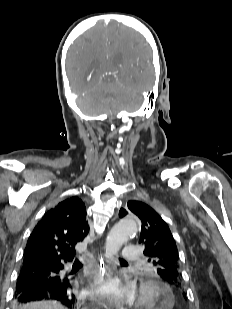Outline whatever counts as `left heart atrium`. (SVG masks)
Returning a JSON list of instances; mask_svg holds the SVG:
<instances>
[{
  "mask_svg": "<svg viewBox=\"0 0 232 309\" xmlns=\"http://www.w3.org/2000/svg\"><path fill=\"white\" fill-rule=\"evenodd\" d=\"M96 294L108 304L121 307L134 302L136 292L130 283H124L116 278L104 280L96 288Z\"/></svg>",
  "mask_w": 232,
  "mask_h": 309,
  "instance_id": "39dd6f15",
  "label": "left heart atrium"
}]
</instances>
